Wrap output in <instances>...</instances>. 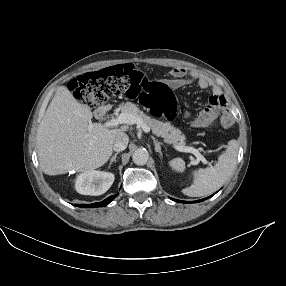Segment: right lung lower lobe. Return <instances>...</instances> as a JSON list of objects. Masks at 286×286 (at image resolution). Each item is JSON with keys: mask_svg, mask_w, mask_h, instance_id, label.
Returning a JSON list of instances; mask_svg holds the SVG:
<instances>
[{"mask_svg": "<svg viewBox=\"0 0 286 286\" xmlns=\"http://www.w3.org/2000/svg\"><path fill=\"white\" fill-rule=\"evenodd\" d=\"M116 195H112L110 197H108L107 199L103 200L102 202H98V203H93V204H75V206L77 207H82V208H95V207H103L108 205L115 197Z\"/></svg>", "mask_w": 286, "mask_h": 286, "instance_id": "obj_1", "label": "right lung lower lobe"}]
</instances>
